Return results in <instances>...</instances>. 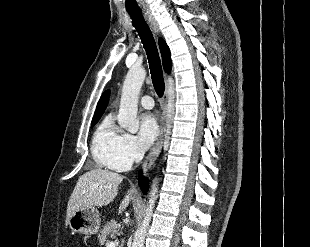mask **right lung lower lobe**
<instances>
[{
	"label": "right lung lower lobe",
	"mask_w": 310,
	"mask_h": 247,
	"mask_svg": "<svg viewBox=\"0 0 310 247\" xmlns=\"http://www.w3.org/2000/svg\"><path fill=\"white\" fill-rule=\"evenodd\" d=\"M139 184H140V188L143 191V193L146 194L147 190H148V180H147V178L140 177L139 178Z\"/></svg>",
	"instance_id": "1"
}]
</instances>
